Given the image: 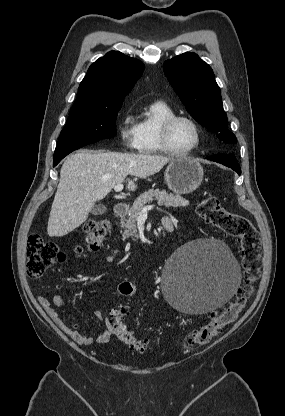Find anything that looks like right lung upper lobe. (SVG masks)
Listing matches in <instances>:
<instances>
[{
    "label": "right lung upper lobe",
    "mask_w": 285,
    "mask_h": 416,
    "mask_svg": "<svg viewBox=\"0 0 285 416\" xmlns=\"http://www.w3.org/2000/svg\"><path fill=\"white\" fill-rule=\"evenodd\" d=\"M143 70L141 61L118 51L108 52L89 67L75 102L104 104L123 101Z\"/></svg>",
    "instance_id": "cb5924a9"
}]
</instances>
